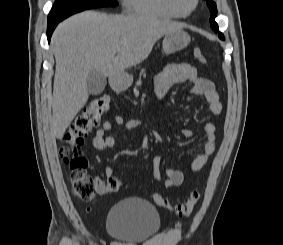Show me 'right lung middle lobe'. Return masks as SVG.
<instances>
[{
	"mask_svg": "<svg viewBox=\"0 0 283 245\" xmlns=\"http://www.w3.org/2000/svg\"><path fill=\"white\" fill-rule=\"evenodd\" d=\"M116 0H55V3L48 15V23L55 21H62L77 12L105 7V6H116Z\"/></svg>",
	"mask_w": 283,
	"mask_h": 245,
	"instance_id": "right-lung-middle-lobe-1",
	"label": "right lung middle lobe"
}]
</instances>
